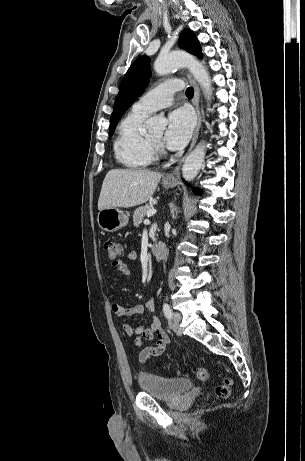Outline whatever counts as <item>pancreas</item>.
<instances>
[{"label": "pancreas", "mask_w": 305, "mask_h": 461, "mask_svg": "<svg viewBox=\"0 0 305 461\" xmlns=\"http://www.w3.org/2000/svg\"><path fill=\"white\" fill-rule=\"evenodd\" d=\"M151 209L152 207L149 204H145L144 206H141L135 210L133 215V222L135 227H138L142 223L144 216L147 215V212Z\"/></svg>", "instance_id": "cf45deb5"}]
</instances>
